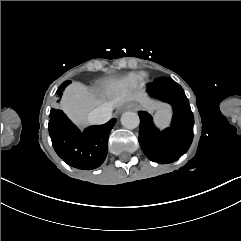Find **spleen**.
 <instances>
[{
    "label": "spleen",
    "mask_w": 241,
    "mask_h": 241,
    "mask_svg": "<svg viewBox=\"0 0 241 241\" xmlns=\"http://www.w3.org/2000/svg\"><path fill=\"white\" fill-rule=\"evenodd\" d=\"M155 123L160 129H164L169 126L171 115L168 110H158L155 114Z\"/></svg>",
    "instance_id": "1"
}]
</instances>
